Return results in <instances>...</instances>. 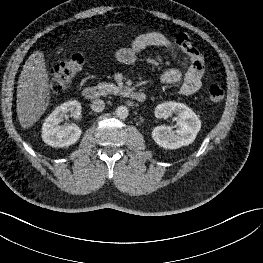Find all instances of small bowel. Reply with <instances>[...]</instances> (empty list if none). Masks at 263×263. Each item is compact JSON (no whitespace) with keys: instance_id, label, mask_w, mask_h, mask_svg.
<instances>
[{"instance_id":"1","label":"small bowel","mask_w":263,"mask_h":263,"mask_svg":"<svg viewBox=\"0 0 263 263\" xmlns=\"http://www.w3.org/2000/svg\"><path fill=\"white\" fill-rule=\"evenodd\" d=\"M148 47L175 50L184 55L186 59V71L183 73L176 68L166 70L160 77L162 84L169 85L182 81L180 91L186 96L193 95L201 89L205 61L192 46L186 34L181 33L170 39L159 32L144 33L136 37L130 46L119 49L115 57L120 63L131 65L136 61L137 53Z\"/></svg>"}]
</instances>
